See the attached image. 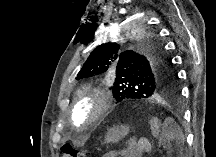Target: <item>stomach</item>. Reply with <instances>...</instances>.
Returning a JSON list of instances; mask_svg holds the SVG:
<instances>
[{"instance_id":"obj_1","label":"stomach","mask_w":216,"mask_h":157,"mask_svg":"<svg viewBox=\"0 0 216 157\" xmlns=\"http://www.w3.org/2000/svg\"><path fill=\"white\" fill-rule=\"evenodd\" d=\"M129 132V127L120 125L108 130L105 140L106 142H118Z\"/></svg>"}]
</instances>
